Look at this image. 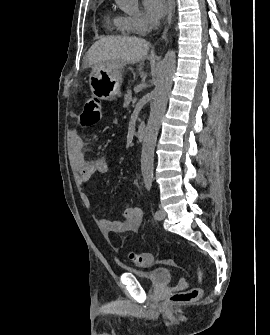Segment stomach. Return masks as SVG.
<instances>
[{
  "mask_svg": "<svg viewBox=\"0 0 270 335\" xmlns=\"http://www.w3.org/2000/svg\"><path fill=\"white\" fill-rule=\"evenodd\" d=\"M88 82L93 98L117 100L122 96V74L120 70L113 72V67L92 66Z\"/></svg>",
  "mask_w": 270,
  "mask_h": 335,
  "instance_id": "0dacf381",
  "label": "stomach"
}]
</instances>
